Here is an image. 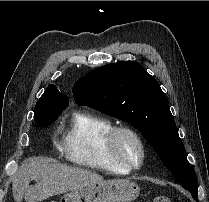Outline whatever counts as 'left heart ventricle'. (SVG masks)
Instances as JSON below:
<instances>
[{"instance_id": "b2bd125f", "label": "left heart ventricle", "mask_w": 209, "mask_h": 202, "mask_svg": "<svg viewBox=\"0 0 209 202\" xmlns=\"http://www.w3.org/2000/svg\"><path fill=\"white\" fill-rule=\"evenodd\" d=\"M119 153L128 160L138 161L140 149L137 142L129 135H121L117 141Z\"/></svg>"}]
</instances>
